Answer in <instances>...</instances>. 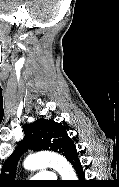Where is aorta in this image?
Listing matches in <instances>:
<instances>
[{
  "mask_svg": "<svg viewBox=\"0 0 119 187\" xmlns=\"http://www.w3.org/2000/svg\"><path fill=\"white\" fill-rule=\"evenodd\" d=\"M27 170H36L51 166L61 176L62 180H77L72 165L60 154L54 152H39L28 156L23 163Z\"/></svg>",
  "mask_w": 119,
  "mask_h": 187,
  "instance_id": "762f6f07",
  "label": "aorta"
}]
</instances>
